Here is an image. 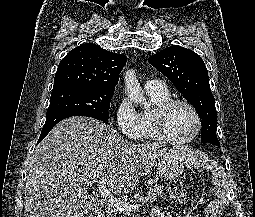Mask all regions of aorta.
Instances as JSON below:
<instances>
[{
	"label": "aorta",
	"mask_w": 255,
	"mask_h": 217,
	"mask_svg": "<svg viewBox=\"0 0 255 217\" xmlns=\"http://www.w3.org/2000/svg\"><path fill=\"white\" fill-rule=\"evenodd\" d=\"M124 81L126 86V94L131 101L148 108L150 105L147 103L140 83L136 77L134 70H127L124 74Z\"/></svg>",
	"instance_id": "aorta-1"
}]
</instances>
